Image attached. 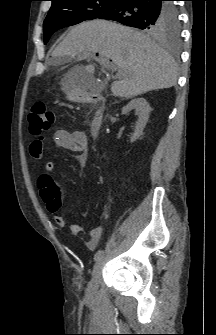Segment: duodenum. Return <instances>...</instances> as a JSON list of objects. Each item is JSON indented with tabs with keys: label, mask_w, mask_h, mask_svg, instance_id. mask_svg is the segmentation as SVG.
I'll return each instance as SVG.
<instances>
[{
	"label": "duodenum",
	"mask_w": 216,
	"mask_h": 335,
	"mask_svg": "<svg viewBox=\"0 0 216 335\" xmlns=\"http://www.w3.org/2000/svg\"><path fill=\"white\" fill-rule=\"evenodd\" d=\"M99 100H100V98L98 96H93L92 97V102L93 103H97V102H99ZM101 122H102V110L98 109L96 111V114H95V117H94V120H93V123H92V127H91V130H92L93 134H95L99 130Z\"/></svg>",
	"instance_id": "1"
}]
</instances>
